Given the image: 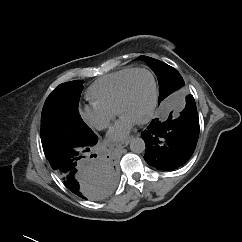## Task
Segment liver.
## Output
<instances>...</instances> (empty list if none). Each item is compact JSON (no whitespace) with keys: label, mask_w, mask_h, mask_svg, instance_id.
Masks as SVG:
<instances>
[{"label":"liver","mask_w":242,"mask_h":242,"mask_svg":"<svg viewBox=\"0 0 242 242\" xmlns=\"http://www.w3.org/2000/svg\"><path fill=\"white\" fill-rule=\"evenodd\" d=\"M92 186L88 187L89 190L88 193L86 194V197L90 200H99L103 197H105L107 194L106 193H103L102 190H100L98 188V186H96L95 188L93 187V189L91 188Z\"/></svg>","instance_id":"1"}]
</instances>
